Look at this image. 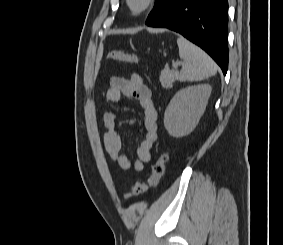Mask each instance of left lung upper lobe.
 Here are the masks:
<instances>
[{
	"label": "left lung upper lobe",
	"mask_w": 283,
	"mask_h": 245,
	"mask_svg": "<svg viewBox=\"0 0 283 245\" xmlns=\"http://www.w3.org/2000/svg\"><path fill=\"white\" fill-rule=\"evenodd\" d=\"M172 2L173 0H156L155 6L149 14L146 23L152 21L154 18L160 15Z\"/></svg>",
	"instance_id": "left-lung-upper-lobe-1"
}]
</instances>
